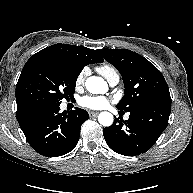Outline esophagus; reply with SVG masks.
Returning <instances> with one entry per match:
<instances>
[{"label": "esophagus", "instance_id": "1", "mask_svg": "<svg viewBox=\"0 0 193 193\" xmlns=\"http://www.w3.org/2000/svg\"><path fill=\"white\" fill-rule=\"evenodd\" d=\"M98 114H99V112H97V111H90V112H89V116H90L91 118L96 117Z\"/></svg>", "mask_w": 193, "mask_h": 193}]
</instances>
